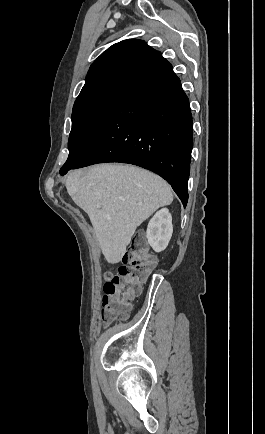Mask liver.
Listing matches in <instances>:
<instances>
[{
  "label": "liver",
  "instance_id": "1",
  "mask_svg": "<svg viewBox=\"0 0 265 434\" xmlns=\"http://www.w3.org/2000/svg\"><path fill=\"white\" fill-rule=\"evenodd\" d=\"M67 192L88 214L108 264L121 262L136 228L173 202L162 178L134 166L99 164L67 176Z\"/></svg>",
  "mask_w": 265,
  "mask_h": 434
}]
</instances>
